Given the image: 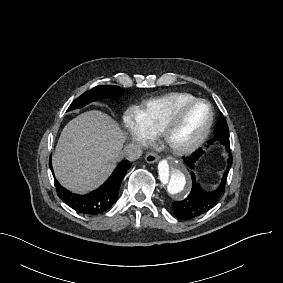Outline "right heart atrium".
<instances>
[{
    "label": "right heart atrium",
    "mask_w": 283,
    "mask_h": 283,
    "mask_svg": "<svg viewBox=\"0 0 283 283\" xmlns=\"http://www.w3.org/2000/svg\"><path fill=\"white\" fill-rule=\"evenodd\" d=\"M119 135L126 150L133 152H142L151 144V134L138 110L132 106L123 111Z\"/></svg>",
    "instance_id": "d8ad5b80"
}]
</instances>
